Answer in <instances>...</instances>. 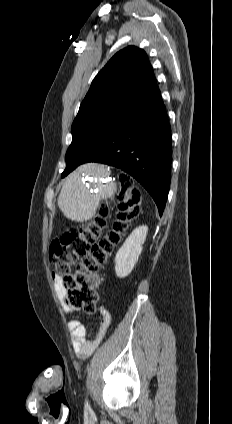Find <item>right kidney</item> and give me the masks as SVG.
I'll return each instance as SVG.
<instances>
[{
  "label": "right kidney",
  "mask_w": 232,
  "mask_h": 424,
  "mask_svg": "<svg viewBox=\"0 0 232 424\" xmlns=\"http://www.w3.org/2000/svg\"><path fill=\"white\" fill-rule=\"evenodd\" d=\"M147 232V226L143 225L136 228L117 252L115 271L119 278L127 277L133 270L142 252V245L145 242Z\"/></svg>",
  "instance_id": "1"
}]
</instances>
